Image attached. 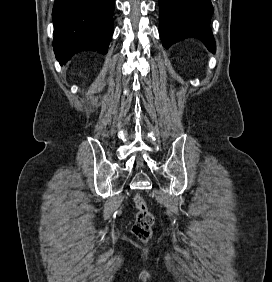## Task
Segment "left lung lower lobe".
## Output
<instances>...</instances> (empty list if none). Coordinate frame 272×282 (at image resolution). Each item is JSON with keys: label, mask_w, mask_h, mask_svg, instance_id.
Instances as JSON below:
<instances>
[{"label": "left lung lower lobe", "mask_w": 272, "mask_h": 282, "mask_svg": "<svg viewBox=\"0 0 272 282\" xmlns=\"http://www.w3.org/2000/svg\"><path fill=\"white\" fill-rule=\"evenodd\" d=\"M159 34L163 46L187 37L200 39L215 52V41L209 23L214 9L211 0H159Z\"/></svg>", "instance_id": "left-lung-lower-lobe-1"}]
</instances>
